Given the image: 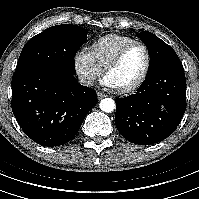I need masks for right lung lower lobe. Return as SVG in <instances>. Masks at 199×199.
I'll return each mask as SVG.
<instances>
[{
	"label": "right lung lower lobe",
	"mask_w": 199,
	"mask_h": 199,
	"mask_svg": "<svg viewBox=\"0 0 199 199\" xmlns=\"http://www.w3.org/2000/svg\"><path fill=\"white\" fill-rule=\"evenodd\" d=\"M97 103L94 89L55 68L36 69L12 79V111L23 132L43 146L69 142Z\"/></svg>",
	"instance_id": "obj_1"
}]
</instances>
